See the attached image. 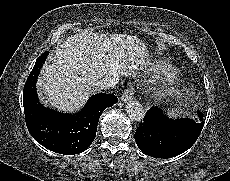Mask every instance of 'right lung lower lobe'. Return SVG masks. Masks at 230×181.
Instances as JSON below:
<instances>
[{"mask_svg": "<svg viewBox=\"0 0 230 181\" xmlns=\"http://www.w3.org/2000/svg\"><path fill=\"white\" fill-rule=\"evenodd\" d=\"M48 52L43 53L26 81L23 106L27 128L32 137L45 148L64 155L86 150L93 142L99 118L105 108L115 104L113 94L93 95L84 109L74 115L44 108L37 97L36 81Z\"/></svg>", "mask_w": 230, "mask_h": 181, "instance_id": "right-lung-lower-lobe-1", "label": "right lung lower lobe"}]
</instances>
